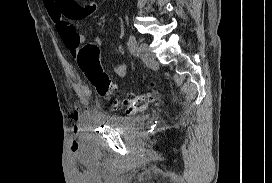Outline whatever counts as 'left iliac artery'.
Wrapping results in <instances>:
<instances>
[{"mask_svg":"<svg viewBox=\"0 0 272 183\" xmlns=\"http://www.w3.org/2000/svg\"><path fill=\"white\" fill-rule=\"evenodd\" d=\"M128 49L133 55H138V44L136 37L134 35H130L128 40Z\"/></svg>","mask_w":272,"mask_h":183,"instance_id":"left-iliac-artery-1","label":"left iliac artery"}]
</instances>
